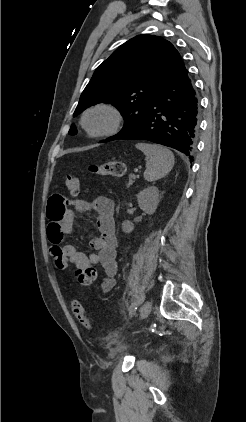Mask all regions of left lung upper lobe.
Segmentation results:
<instances>
[{
	"mask_svg": "<svg viewBox=\"0 0 246 422\" xmlns=\"http://www.w3.org/2000/svg\"><path fill=\"white\" fill-rule=\"evenodd\" d=\"M181 61L179 52L162 37L138 35L128 40L96 69L73 116L91 105L112 104L120 111L124 127L105 141L119 137L140 122L157 91ZM76 133L73 124L69 134Z\"/></svg>",
	"mask_w": 246,
	"mask_h": 422,
	"instance_id": "left-lung-upper-lobe-1",
	"label": "left lung upper lobe"
}]
</instances>
